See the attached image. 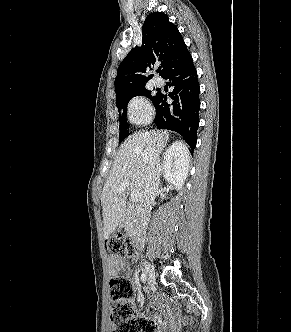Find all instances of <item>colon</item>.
Segmentation results:
<instances>
[{"label":"colon","mask_w":291,"mask_h":332,"mask_svg":"<svg viewBox=\"0 0 291 332\" xmlns=\"http://www.w3.org/2000/svg\"><path fill=\"white\" fill-rule=\"evenodd\" d=\"M106 247L117 257H130L135 252L132 239L124 233L107 238ZM109 287L112 332H158V326L154 320L138 314L133 300V286L128 279L112 277Z\"/></svg>","instance_id":"5ec220e1"}]
</instances>
